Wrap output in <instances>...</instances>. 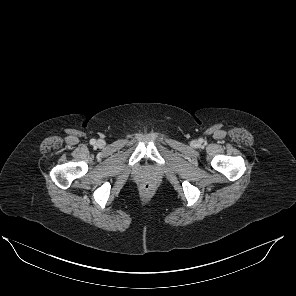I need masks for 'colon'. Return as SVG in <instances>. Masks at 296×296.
I'll return each mask as SVG.
<instances>
[{"label":"colon","instance_id":"obj_1","mask_svg":"<svg viewBox=\"0 0 296 296\" xmlns=\"http://www.w3.org/2000/svg\"><path fill=\"white\" fill-rule=\"evenodd\" d=\"M143 190H144L145 192H149V191L152 190V186L149 185V184H146V185L143 187Z\"/></svg>","mask_w":296,"mask_h":296}]
</instances>
